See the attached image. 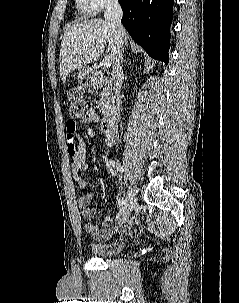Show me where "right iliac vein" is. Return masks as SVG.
Listing matches in <instances>:
<instances>
[{"instance_id": "obj_1", "label": "right iliac vein", "mask_w": 239, "mask_h": 303, "mask_svg": "<svg viewBox=\"0 0 239 303\" xmlns=\"http://www.w3.org/2000/svg\"><path fill=\"white\" fill-rule=\"evenodd\" d=\"M136 204H137L136 193H135L134 189L130 187L127 197L125 199V203L122 206L120 212L118 213V217L128 216L132 212V210L135 208Z\"/></svg>"}]
</instances>
